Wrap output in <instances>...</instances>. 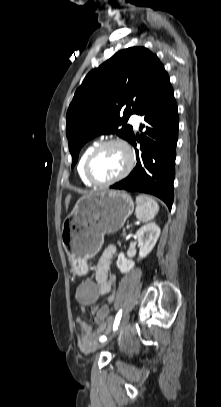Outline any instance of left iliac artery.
I'll list each match as a JSON object with an SVG mask.
<instances>
[{
	"label": "left iliac artery",
	"instance_id": "1",
	"mask_svg": "<svg viewBox=\"0 0 221 407\" xmlns=\"http://www.w3.org/2000/svg\"><path fill=\"white\" fill-rule=\"evenodd\" d=\"M121 316H122V310H120V311L117 313L116 317H115L114 324H113V330H117L118 325H119V322H120V319H121ZM107 334H108V331H107ZM106 340H107L106 336H102V337L100 338V341H101V342H104V341H106Z\"/></svg>",
	"mask_w": 221,
	"mask_h": 407
}]
</instances>
